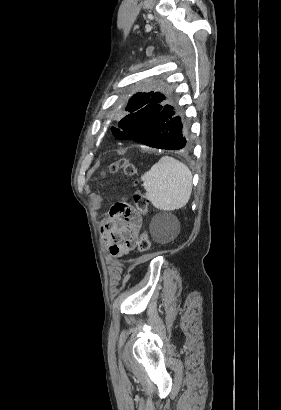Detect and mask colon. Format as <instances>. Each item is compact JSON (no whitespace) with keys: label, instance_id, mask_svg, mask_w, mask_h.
<instances>
[{"label":"colon","instance_id":"1","mask_svg":"<svg viewBox=\"0 0 281 410\" xmlns=\"http://www.w3.org/2000/svg\"><path fill=\"white\" fill-rule=\"evenodd\" d=\"M123 170L128 176L136 174V166L127 159H121L108 168V171L115 173ZM148 210V198L142 191H136L133 195L132 203L128 201H119L110 208V215L117 217H128L134 212L146 214ZM151 248V240L149 236L143 232L138 240V250L141 253H146Z\"/></svg>","mask_w":281,"mask_h":410}]
</instances>
